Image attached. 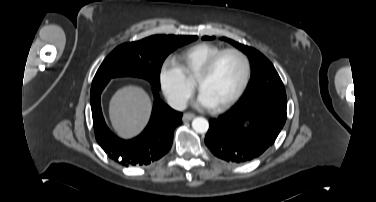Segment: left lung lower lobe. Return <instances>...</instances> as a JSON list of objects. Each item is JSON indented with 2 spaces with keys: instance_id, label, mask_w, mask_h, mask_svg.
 I'll use <instances>...</instances> for the list:
<instances>
[{
  "instance_id": "1",
  "label": "left lung lower lobe",
  "mask_w": 376,
  "mask_h": 202,
  "mask_svg": "<svg viewBox=\"0 0 376 202\" xmlns=\"http://www.w3.org/2000/svg\"><path fill=\"white\" fill-rule=\"evenodd\" d=\"M287 103L262 96L209 120L205 144L223 160L243 163L274 144L286 121ZM245 121H249L247 127Z\"/></svg>"
}]
</instances>
